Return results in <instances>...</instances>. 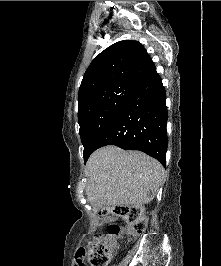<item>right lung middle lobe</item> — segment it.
<instances>
[{"label": "right lung middle lobe", "mask_w": 221, "mask_h": 266, "mask_svg": "<svg viewBox=\"0 0 221 266\" xmlns=\"http://www.w3.org/2000/svg\"><path fill=\"white\" fill-rule=\"evenodd\" d=\"M137 88L132 85H118L98 89L79 101L78 121L85 162Z\"/></svg>", "instance_id": "obj_1"}]
</instances>
